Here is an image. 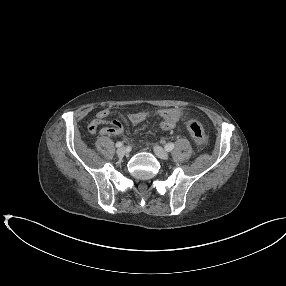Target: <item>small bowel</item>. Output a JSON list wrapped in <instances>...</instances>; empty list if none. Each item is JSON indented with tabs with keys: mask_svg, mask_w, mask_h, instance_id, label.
Masks as SVG:
<instances>
[{
	"mask_svg": "<svg viewBox=\"0 0 286 286\" xmlns=\"http://www.w3.org/2000/svg\"><path fill=\"white\" fill-rule=\"evenodd\" d=\"M188 111L180 108H165L156 111H143L131 113L128 119L132 124H139L150 116H157L160 119V127L165 131H170L176 127L178 121L186 116ZM110 110L107 108L97 112L96 118L88 125V131L94 134L99 127L102 135H121L124 131L123 125L117 120L109 121Z\"/></svg>",
	"mask_w": 286,
	"mask_h": 286,
	"instance_id": "c3829d8e",
	"label": "small bowel"
}]
</instances>
